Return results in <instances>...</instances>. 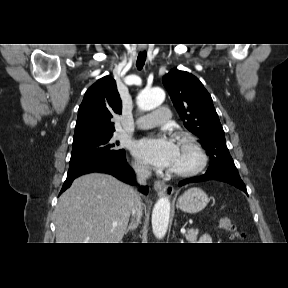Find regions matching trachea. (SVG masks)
Listing matches in <instances>:
<instances>
[{
    "mask_svg": "<svg viewBox=\"0 0 288 288\" xmlns=\"http://www.w3.org/2000/svg\"><path fill=\"white\" fill-rule=\"evenodd\" d=\"M146 51L139 52L138 57H137V68L141 70L145 64L146 61Z\"/></svg>",
    "mask_w": 288,
    "mask_h": 288,
    "instance_id": "1",
    "label": "trachea"
}]
</instances>
